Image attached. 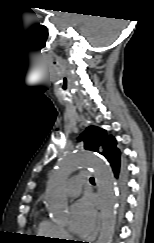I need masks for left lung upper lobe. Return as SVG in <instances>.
<instances>
[{
    "label": "left lung upper lobe",
    "mask_w": 154,
    "mask_h": 243,
    "mask_svg": "<svg viewBox=\"0 0 154 243\" xmlns=\"http://www.w3.org/2000/svg\"><path fill=\"white\" fill-rule=\"evenodd\" d=\"M84 141V148L87 150L99 152L103 155L113 167L116 163L121 164L119 149L116 147L115 138L104 129L96 126L87 128L79 137Z\"/></svg>",
    "instance_id": "left-lung-upper-lobe-1"
}]
</instances>
